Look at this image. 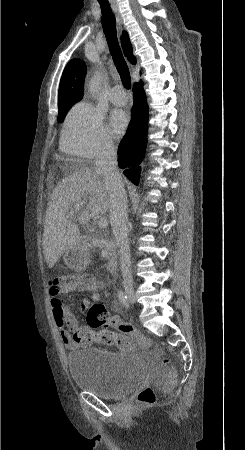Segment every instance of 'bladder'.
<instances>
[{
    "label": "bladder",
    "mask_w": 245,
    "mask_h": 450,
    "mask_svg": "<svg viewBox=\"0 0 245 450\" xmlns=\"http://www.w3.org/2000/svg\"><path fill=\"white\" fill-rule=\"evenodd\" d=\"M74 385L102 399H117L140 388L146 368L135 354L90 348L65 357Z\"/></svg>",
    "instance_id": "obj_1"
}]
</instances>
